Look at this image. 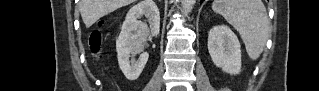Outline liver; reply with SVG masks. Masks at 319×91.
I'll use <instances>...</instances> for the list:
<instances>
[{
  "label": "liver",
  "mask_w": 319,
  "mask_h": 91,
  "mask_svg": "<svg viewBox=\"0 0 319 91\" xmlns=\"http://www.w3.org/2000/svg\"><path fill=\"white\" fill-rule=\"evenodd\" d=\"M133 2L135 0H80L79 9L85 26L89 28L103 16Z\"/></svg>",
  "instance_id": "1"
}]
</instances>
